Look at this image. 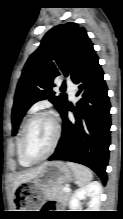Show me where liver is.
Wrapping results in <instances>:
<instances>
[{
	"label": "liver",
	"mask_w": 123,
	"mask_h": 219,
	"mask_svg": "<svg viewBox=\"0 0 123 219\" xmlns=\"http://www.w3.org/2000/svg\"><path fill=\"white\" fill-rule=\"evenodd\" d=\"M48 164V162L43 163L42 165L36 167V168H32L22 174H19L14 183H13V193L16 191V189L23 183L35 178L44 168L45 166Z\"/></svg>",
	"instance_id": "6515ba94"
}]
</instances>
